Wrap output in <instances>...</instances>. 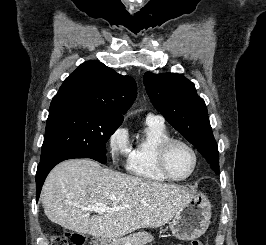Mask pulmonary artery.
<instances>
[{
  "instance_id": "obj_1",
  "label": "pulmonary artery",
  "mask_w": 266,
  "mask_h": 245,
  "mask_svg": "<svg viewBox=\"0 0 266 245\" xmlns=\"http://www.w3.org/2000/svg\"><path fill=\"white\" fill-rule=\"evenodd\" d=\"M145 120L146 121H158V122H164V117L160 114H156V113H153V112H149L146 114V117H145Z\"/></svg>"
}]
</instances>
